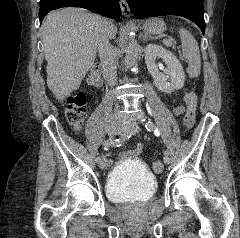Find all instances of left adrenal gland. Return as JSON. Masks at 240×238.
<instances>
[{
    "instance_id": "obj_1",
    "label": "left adrenal gland",
    "mask_w": 240,
    "mask_h": 238,
    "mask_svg": "<svg viewBox=\"0 0 240 238\" xmlns=\"http://www.w3.org/2000/svg\"><path fill=\"white\" fill-rule=\"evenodd\" d=\"M147 39H153V37L151 35H148L147 33H145L143 36V40L145 41Z\"/></svg>"
}]
</instances>
